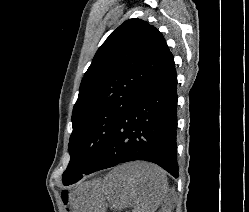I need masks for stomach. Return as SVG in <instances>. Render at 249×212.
Here are the masks:
<instances>
[{
  "mask_svg": "<svg viewBox=\"0 0 249 212\" xmlns=\"http://www.w3.org/2000/svg\"><path fill=\"white\" fill-rule=\"evenodd\" d=\"M110 179H97L93 182H84L70 190H64L62 202L68 206L69 212H105L108 205H104L107 198H111V193L100 192L99 189H106V184H110Z\"/></svg>",
  "mask_w": 249,
  "mask_h": 212,
  "instance_id": "obj_1",
  "label": "stomach"
}]
</instances>
